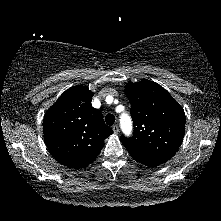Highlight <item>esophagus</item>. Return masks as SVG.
Listing matches in <instances>:
<instances>
[{"label":"esophagus","instance_id":"esophagus-1","mask_svg":"<svg viewBox=\"0 0 221 221\" xmlns=\"http://www.w3.org/2000/svg\"><path fill=\"white\" fill-rule=\"evenodd\" d=\"M112 130H113L114 134H118V133H119V127H118V125H114V126L112 127Z\"/></svg>","mask_w":221,"mask_h":221}]
</instances>
